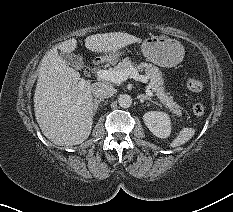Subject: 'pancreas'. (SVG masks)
<instances>
[{
  "label": "pancreas",
  "instance_id": "1",
  "mask_svg": "<svg viewBox=\"0 0 233 212\" xmlns=\"http://www.w3.org/2000/svg\"><path fill=\"white\" fill-rule=\"evenodd\" d=\"M135 69L141 73H144L148 78H150V88L155 95L160 99V102L169 109L175 115H181L180 106L173 101V96L166 93L163 87L162 74L159 68L151 63L142 62L140 64L134 63L130 58H125L122 62H119L114 70L124 71Z\"/></svg>",
  "mask_w": 233,
  "mask_h": 212
}]
</instances>
